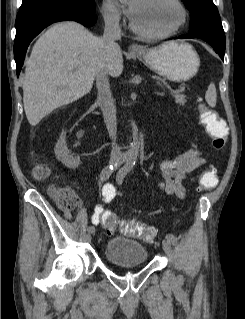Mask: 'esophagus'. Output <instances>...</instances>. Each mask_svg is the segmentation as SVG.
<instances>
[{
  "label": "esophagus",
  "mask_w": 245,
  "mask_h": 319,
  "mask_svg": "<svg viewBox=\"0 0 245 319\" xmlns=\"http://www.w3.org/2000/svg\"><path fill=\"white\" fill-rule=\"evenodd\" d=\"M128 50L130 53H138V52L143 51L142 47L135 44V43L130 44L128 47Z\"/></svg>",
  "instance_id": "1"
}]
</instances>
